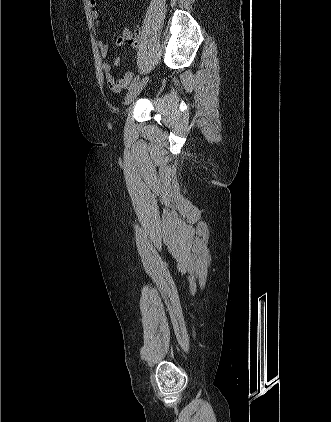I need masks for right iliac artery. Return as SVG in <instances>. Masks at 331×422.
<instances>
[{
  "instance_id": "82829eb1",
  "label": "right iliac artery",
  "mask_w": 331,
  "mask_h": 422,
  "mask_svg": "<svg viewBox=\"0 0 331 422\" xmlns=\"http://www.w3.org/2000/svg\"><path fill=\"white\" fill-rule=\"evenodd\" d=\"M138 80H139V75L138 76H136L135 78H134V80L132 81V83L130 84V86H129V90L134 86V85H136L137 84V82H138Z\"/></svg>"
}]
</instances>
